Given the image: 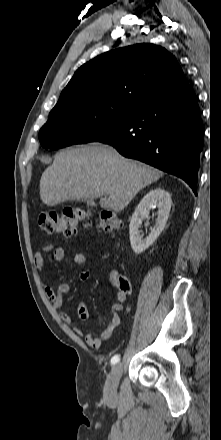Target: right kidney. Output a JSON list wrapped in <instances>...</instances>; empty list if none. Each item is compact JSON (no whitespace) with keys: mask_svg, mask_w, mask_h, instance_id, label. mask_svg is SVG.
Instances as JSON below:
<instances>
[{"mask_svg":"<svg viewBox=\"0 0 221 440\" xmlns=\"http://www.w3.org/2000/svg\"><path fill=\"white\" fill-rule=\"evenodd\" d=\"M171 204L170 194L160 187L150 190L140 201L129 225L130 243L136 254L145 251L161 234L166 225ZM153 207L158 208L156 223L149 236L142 239L139 228L142 221L149 217V212Z\"/></svg>","mask_w":221,"mask_h":440,"instance_id":"right-kidney-1","label":"right kidney"}]
</instances>
